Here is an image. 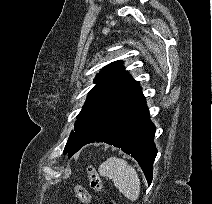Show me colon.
Masks as SVG:
<instances>
[{"instance_id":"colon-1","label":"colon","mask_w":212,"mask_h":204,"mask_svg":"<svg viewBox=\"0 0 212 204\" xmlns=\"http://www.w3.org/2000/svg\"><path fill=\"white\" fill-rule=\"evenodd\" d=\"M88 177H89L90 186L93 190L98 191V192H102L104 190L101 178H100L97 170L93 166H90L88 168ZM74 192H75L76 197L83 204H90L91 196L85 187H83L80 184H76L74 186Z\"/></svg>"}]
</instances>
